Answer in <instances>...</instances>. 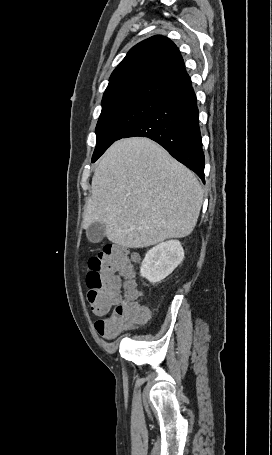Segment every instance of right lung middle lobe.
<instances>
[{
	"label": "right lung middle lobe",
	"mask_w": 272,
	"mask_h": 455,
	"mask_svg": "<svg viewBox=\"0 0 272 455\" xmlns=\"http://www.w3.org/2000/svg\"><path fill=\"white\" fill-rule=\"evenodd\" d=\"M164 102L147 97H133L102 105L96 126L95 162L128 128L151 114Z\"/></svg>",
	"instance_id": "dd1d6c3e"
}]
</instances>
